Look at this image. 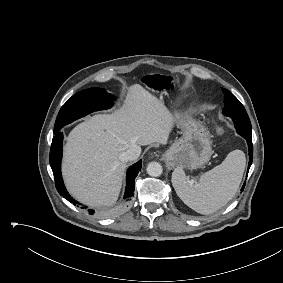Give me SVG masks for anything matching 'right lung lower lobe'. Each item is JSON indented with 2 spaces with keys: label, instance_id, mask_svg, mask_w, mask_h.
<instances>
[{
  "label": "right lung lower lobe",
  "instance_id": "98d812e1",
  "mask_svg": "<svg viewBox=\"0 0 283 283\" xmlns=\"http://www.w3.org/2000/svg\"><path fill=\"white\" fill-rule=\"evenodd\" d=\"M63 133L58 132L54 135L52 140V146L50 149V165L54 174L55 186L60 195H62L65 199L71 201L74 204L78 202L74 200L69 193L67 192L62 175H61V159H62V146H63ZM141 170V160L137 163L133 164L127 171L126 177V189L124 198H130L134 195V179L138 175ZM89 214L94 213V210L88 209Z\"/></svg>",
  "mask_w": 283,
  "mask_h": 283
}]
</instances>
